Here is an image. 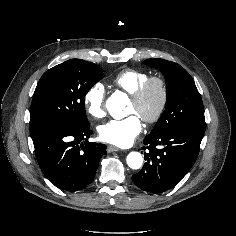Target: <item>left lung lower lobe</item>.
Returning a JSON list of instances; mask_svg holds the SVG:
<instances>
[{
	"mask_svg": "<svg viewBox=\"0 0 236 236\" xmlns=\"http://www.w3.org/2000/svg\"><path fill=\"white\" fill-rule=\"evenodd\" d=\"M203 135L185 128L147 135L142 148L146 163L132 176L134 184L154 194L177 185L195 163Z\"/></svg>",
	"mask_w": 236,
	"mask_h": 236,
	"instance_id": "left-lung-lower-lobe-1",
	"label": "left lung lower lobe"
}]
</instances>
